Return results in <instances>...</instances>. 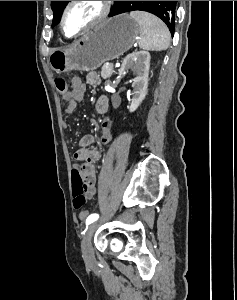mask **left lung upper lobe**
I'll return each mask as SVG.
<instances>
[{
	"mask_svg": "<svg viewBox=\"0 0 237 300\" xmlns=\"http://www.w3.org/2000/svg\"><path fill=\"white\" fill-rule=\"evenodd\" d=\"M69 1H51L53 10L52 27L59 23L61 14ZM177 1H114L113 12L121 14L124 12L141 10L150 12L161 18L168 26L171 34L175 28V10Z\"/></svg>",
	"mask_w": 237,
	"mask_h": 300,
	"instance_id": "1",
	"label": "left lung upper lobe"
}]
</instances>
